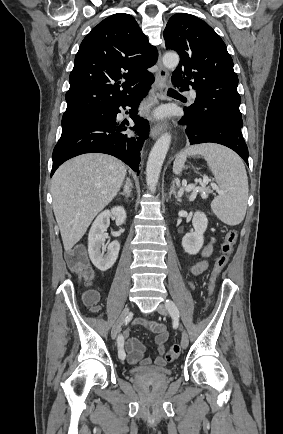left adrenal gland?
<instances>
[{"instance_id":"left-adrenal-gland-1","label":"left adrenal gland","mask_w":283,"mask_h":434,"mask_svg":"<svg viewBox=\"0 0 283 434\" xmlns=\"http://www.w3.org/2000/svg\"><path fill=\"white\" fill-rule=\"evenodd\" d=\"M172 195L176 198V200L178 202H181V195L176 193L175 181H172V185H171L170 191H169V197H171Z\"/></svg>"}]
</instances>
